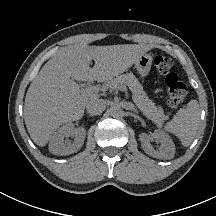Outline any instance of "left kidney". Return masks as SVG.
Here are the masks:
<instances>
[{
  "mask_svg": "<svg viewBox=\"0 0 216 216\" xmlns=\"http://www.w3.org/2000/svg\"><path fill=\"white\" fill-rule=\"evenodd\" d=\"M139 140L141 142L142 149L147 153L149 156L158 159H172L175 154V145L172 139L167 135L165 132L161 130H156L151 135L146 133H141L139 135ZM158 140L161 145L162 149L156 151L153 146L151 145V141Z\"/></svg>",
  "mask_w": 216,
  "mask_h": 216,
  "instance_id": "5707ae66",
  "label": "left kidney"
}]
</instances>
